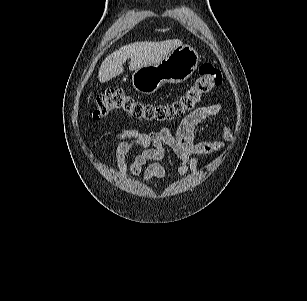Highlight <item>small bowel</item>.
Masks as SVG:
<instances>
[{
	"instance_id": "1",
	"label": "small bowel",
	"mask_w": 307,
	"mask_h": 301,
	"mask_svg": "<svg viewBox=\"0 0 307 301\" xmlns=\"http://www.w3.org/2000/svg\"><path fill=\"white\" fill-rule=\"evenodd\" d=\"M220 108L221 105L216 103L195 110L180 123L176 131L169 128L155 132H141L136 129L120 130L114 136L117 142L115 160L119 172L129 173L134 178L142 176L148 182L154 179L163 180L166 172L159 161L165 158L167 148L181 161L178 167L179 175L184 176L193 172L198 166V155L217 151L225 141L231 138L229 130L225 129L223 141H195L196 126L218 114ZM135 150H139L140 153L131 164H128L126 156ZM146 164L148 165L144 169Z\"/></svg>"
}]
</instances>
